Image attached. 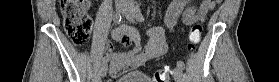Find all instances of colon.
I'll use <instances>...</instances> for the list:
<instances>
[{
    "label": "colon",
    "mask_w": 279,
    "mask_h": 82,
    "mask_svg": "<svg viewBox=\"0 0 279 82\" xmlns=\"http://www.w3.org/2000/svg\"><path fill=\"white\" fill-rule=\"evenodd\" d=\"M60 11L63 18V26L73 44L85 45L92 30V19L86 12L88 0H59ZM220 0H205L206 6H214ZM202 25L194 24L189 32V46L194 48L201 39ZM169 74L164 68L154 74V82H168Z\"/></svg>",
    "instance_id": "obj_1"
}]
</instances>
